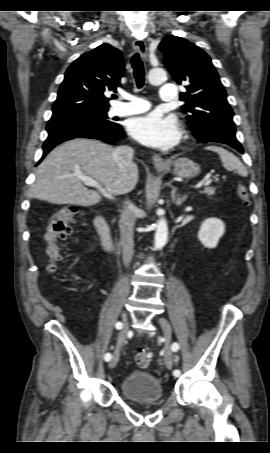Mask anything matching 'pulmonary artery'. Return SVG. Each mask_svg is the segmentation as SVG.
Returning a JSON list of instances; mask_svg holds the SVG:
<instances>
[{
    "label": "pulmonary artery",
    "mask_w": 270,
    "mask_h": 453,
    "mask_svg": "<svg viewBox=\"0 0 270 453\" xmlns=\"http://www.w3.org/2000/svg\"><path fill=\"white\" fill-rule=\"evenodd\" d=\"M159 95L162 100L173 101L176 97V87L173 84H166L161 86L159 89ZM126 98L130 100L129 103L118 107L115 110V114L118 116H128L146 111L150 105L148 102L138 99L132 95H126Z\"/></svg>",
    "instance_id": "e3ab8cb5"
}]
</instances>
